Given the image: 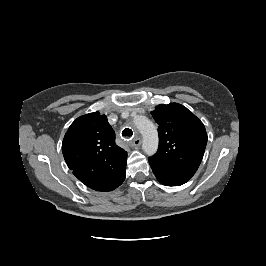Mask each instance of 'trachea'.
<instances>
[{"mask_svg": "<svg viewBox=\"0 0 266 266\" xmlns=\"http://www.w3.org/2000/svg\"><path fill=\"white\" fill-rule=\"evenodd\" d=\"M132 135H133V131L130 128H125L122 131V136L125 138H130V137H132Z\"/></svg>", "mask_w": 266, "mask_h": 266, "instance_id": "trachea-1", "label": "trachea"}]
</instances>
